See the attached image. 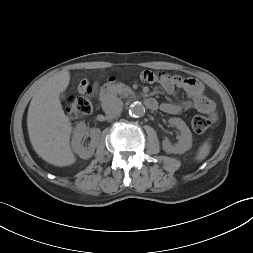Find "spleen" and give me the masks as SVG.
<instances>
[{"label": "spleen", "mask_w": 253, "mask_h": 253, "mask_svg": "<svg viewBox=\"0 0 253 253\" xmlns=\"http://www.w3.org/2000/svg\"><path fill=\"white\" fill-rule=\"evenodd\" d=\"M210 149H211V145L209 141L204 142L197 151L196 160L197 161L204 160L208 156Z\"/></svg>", "instance_id": "3e777b00"}]
</instances>
